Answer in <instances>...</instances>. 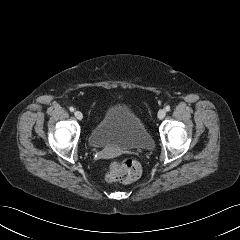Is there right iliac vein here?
<instances>
[{
    "label": "right iliac vein",
    "mask_w": 240,
    "mask_h": 240,
    "mask_svg": "<svg viewBox=\"0 0 240 240\" xmlns=\"http://www.w3.org/2000/svg\"><path fill=\"white\" fill-rule=\"evenodd\" d=\"M74 115L78 120H82L83 118V114L80 111H75Z\"/></svg>",
    "instance_id": "right-iliac-vein-1"
}]
</instances>
